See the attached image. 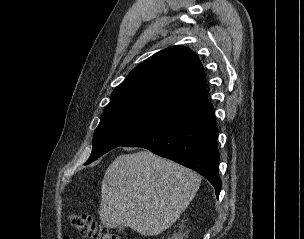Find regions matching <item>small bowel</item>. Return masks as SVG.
I'll use <instances>...</instances> for the list:
<instances>
[{
	"instance_id": "c3829d8e",
	"label": "small bowel",
	"mask_w": 304,
	"mask_h": 239,
	"mask_svg": "<svg viewBox=\"0 0 304 239\" xmlns=\"http://www.w3.org/2000/svg\"><path fill=\"white\" fill-rule=\"evenodd\" d=\"M63 239H73V238H72V237H68V236H67V237H64Z\"/></svg>"
}]
</instances>
